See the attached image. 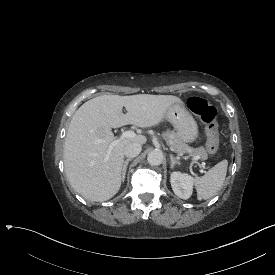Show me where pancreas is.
Instances as JSON below:
<instances>
[{"instance_id":"1","label":"pancreas","mask_w":275,"mask_h":275,"mask_svg":"<svg viewBox=\"0 0 275 275\" xmlns=\"http://www.w3.org/2000/svg\"><path fill=\"white\" fill-rule=\"evenodd\" d=\"M162 137L166 140L170 148L176 153H189L192 156H200L201 159L206 160L208 154L204 147L192 148L184 143L174 131H166L162 133Z\"/></svg>"}]
</instances>
